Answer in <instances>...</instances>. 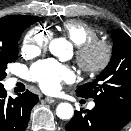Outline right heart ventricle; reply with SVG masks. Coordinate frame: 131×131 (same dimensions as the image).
<instances>
[{"mask_svg": "<svg viewBox=\"0 0 131 131\" xmlns=\"http://www.w3.org/2000/svg\"><path fill=\"white\" fill-rule=\"evenodd\" d=\"M61 31L77 46L97 38L96 29L80 20L70 19L63 22Z\"/></svg>", "mask_w": 131, "mask_h": 131, "instance_id": "e07e8e85", "label": "right heart ventricle"}]
</instances>
